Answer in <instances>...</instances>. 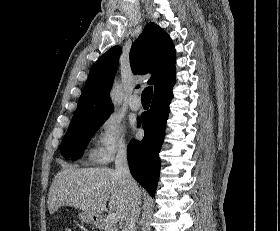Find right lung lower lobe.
Listing matches in <instances>:
<instances>
[{
	"label": "right lung lower lobe",
	"instance_id": "obj_1",
	"mask_svg": "<svg viewBox=\"0 0 280 231\" xmlns=\"http://www.w3.org/2000/svg\"><path fill=\"white\" fill-rule=\"evenodd\" d=\"M172 89L153 96L151 108L142 115L145 137L133 139L128 145V162L132 176L154 197L159 179L160 160L158 153L165 136Z\"/></svg>",
	"mask_w": 280,
	"mask_h": 231
}]
</instances>
